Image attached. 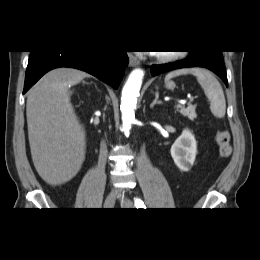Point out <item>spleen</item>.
<instances>
[{
	"mask_svg": "<svg viewBox=\"0 0 260 260\" xmlns=\"http://www.w3.org/2000/svg\"><path fill=\"white\" fill-rule=\"evenodd\" d=\"M189 73L197 78L198 83L209 99L212 114L217 118H223L226 113V101L223 89L218 80L209 71L201 68L180 69L168 73L165 77V81Z\"/></svg>",
	"mask_w": 260,
	"mask_h": 260,
	"instance_id": "1",
	"label": "spleen"
}]
</instances>
